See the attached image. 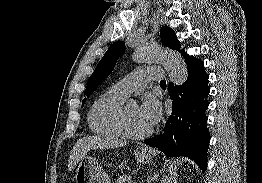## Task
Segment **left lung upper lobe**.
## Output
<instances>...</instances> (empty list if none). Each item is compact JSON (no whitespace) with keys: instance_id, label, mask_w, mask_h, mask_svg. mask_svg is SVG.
<instances>
[{"instance_id":"1","label":"left lung upper lobe","mask_w":262,"mask_h":183,"mask_svg":"<svg viewBox=\"0 0 262 183\" xmlns=\"http://www.w3.org/2000/svg\"><path fill=\"white\" fill-rule=\"evenodd\" d=\"M160 36L161 41L165 46L178 51L180 50V44L176 38V34L170 27H162L160 30ZM124 51L125 45L123 41H117L109 47L103 58L97 64L95 71L90 76L84 96L89 97L99 86V83L107 78V76L112 72L117 59L124 53ZM180 52L184 57L188 56L183 50ZM85 101L86 98L82 101V105Z\"/></svg>"}]
</instances>
